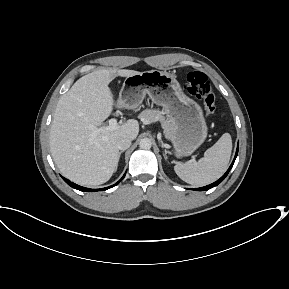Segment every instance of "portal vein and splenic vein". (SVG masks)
Instances as JSON below:
<instances>
[{
	"label": "portal vein and splenic vein",
	"mask_w": 289,
	"mask_h": 289,
	"mask_svg": "<svg viewBox=\"0 0 289 289\" xmlns=\"http://www.w3.org/2000/svg\"><path fill=\"white\" fill-rule=\"evenodd\" d=\"M118 127V122L116 119L112 118L109 120V125L106 126L105 128H97L94 130L93 134L96 135L98 134L100 131H104V130H114Z\"/></svg>",
	"instance_id": "obj_1"
}]
</instances>
